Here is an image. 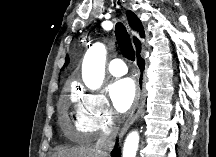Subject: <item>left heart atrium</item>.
Masks as SVG:
<instances>
[{"label": "left heart atrium", "instance_id": "39dd6f15", "mask_svg": "<svg viewBox=\"0 0 216 157\" xmlns=\"http://www.w3.org/2000/svg\"><path fill=\"white\" fill-rule=\"evenodd\" d=\"M135 96V84L129 78L118 80L110 87V97L118 112H126L133 104Z\"/></svg>", "mask_w": 216, "mask_h": 157}]
</instances>
